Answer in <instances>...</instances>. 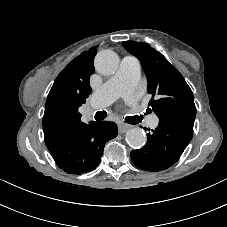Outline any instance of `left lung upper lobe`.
I'll list each match as a JSON object with an SVG mask.
<instances>
[{
    "mask_svg": "<svg viewBox=\"0 0 227 227\" xmlns=\"http://www.w3.org/2000/svg\"><path fill=\"white\" fill-rule=\"evenodd\" d=\"M123 46L141 62L148 80L147 90L152 95L148 105L159 121L193 132V93L180 72L147 43L125 41Z\"/></svg>",
    "mask_w": 227,
    "mask_h": 227,
    "instance_id": "1",
    "label": "left lung upper lobe"
}]
</instances>
